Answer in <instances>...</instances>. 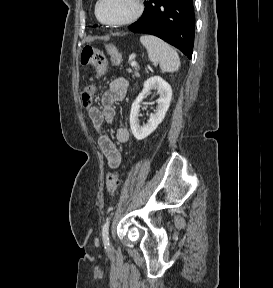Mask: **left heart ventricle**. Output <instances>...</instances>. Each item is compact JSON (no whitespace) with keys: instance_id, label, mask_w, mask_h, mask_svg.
I'll return each mask as SVG.
<instances>
[{"instance_id":"b2bd125f","label":"left heart ventricle","mask_w":273,"mask_h":288,"mask_svg":"<svg viewBox=\"0 0 273 288\" xmlns=\"http://www.w3.org/2000/svg\"><path fill=\"white\" fill-rule=\"evenodd\" d=\"M135 8V0H103L100 16L107 22L118 21L130 16Z\"/></svg>"}]
</instances>
